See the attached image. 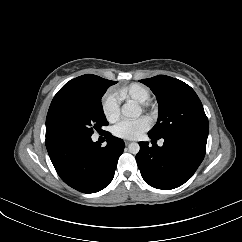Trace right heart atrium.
<instances>
[{
    "label": "right heart atrium",
    "instance_id": "right-heart-atrium-1",
    "mask_svg": "<svg viewBox=\"0 0 242 242\" xmlns=\"http://www.w3.org/2000/svg\"><path fill=\"white\" fill-rule=\"evenodd\" d=\"M102 112L105 118L113 123L118 120L120 116V105L118 97L112 93L108 92L102 99Z\"/></svg>",
    "mask_w": 242,
    "mask_h": 242
}]
</instances>
